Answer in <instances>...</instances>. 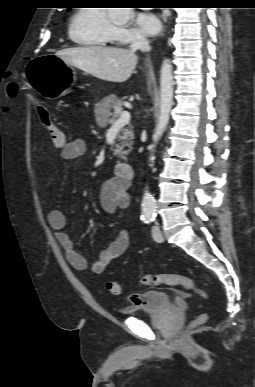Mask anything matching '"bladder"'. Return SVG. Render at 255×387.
Masks as SVG:
<instances>
[{
  "label": "bladder",
  "instance_id": "bladder-1",
  "mask_svg": "<svg viewBox=\"0 0 255 387\" xmlns=\"http://www.w3.org/2000/svg\"><path fill=\"white\" fill-rule=\"evenodd\" d=\"M140 303L124 309V314L138 315L140 313L154 315L173 307L171 296L163 291H147L139 294Z\"/></svg>",
  "mask_w": 255,
  "mask_h": 387
}]
</instances>
